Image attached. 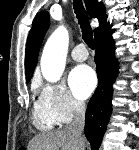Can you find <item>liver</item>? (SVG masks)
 <instances>
[{
  "label": "liver",
  "instance_id": "obj_1",
  "mask_svg": "<svg viewBox=\"0 0 139 150\" xmlns=\"http://www.w3.org/2000/svg\"><path fill=\"white\" fill-rule=\"evenodd\" d=\"M85 146V143H84ZM79 150L76 138L68 129L48 132L35 136L28 145V150Z\"/></svg>",
  "mask_w": 139,
  "mask_h": 150
}]
</instances>
